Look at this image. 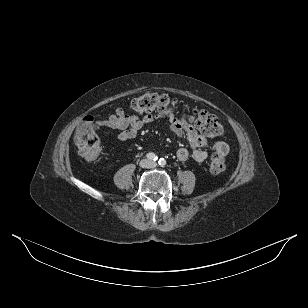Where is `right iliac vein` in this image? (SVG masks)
Listing matches in <instances>:
<instances>
[{"label":"right iliac vein","mask_w":308,"mask_h":308,"mask_svg":"<svg viewBox=\"0 0 308 308\" xmlns=\"http://www.w3.org/2000/svg\"><path fill=\"white\" fill-rule=\"evenodd\" d=\"M139 166L142 168H147L150 166V162L147 159H143L140 161Z\"/></svg>","instance_id":"63e3f726"}]
</instances>
